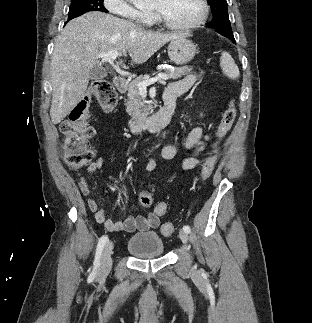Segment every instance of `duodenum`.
<instances>
[{
    "label": "duodenum",
    "mask_w": 312,
    "mask_h": 323,
    "mask_svg": "<svg viewBox=\"0 0 312 323\" xmlns=\"http://www.w3.org/2000/svg\"><path fill=\"white\" fill-rule=\"evenodd\" d=\"M114 85L117 90L123 92L127 88L128 80L124 75H119L115 78ZM174 112L175 96L164 95V105L162 108L154 115L130 119L128 122L129 130L135 135L157 131L172 122Z\"/></svg>",
    "instance_id": "duodenum-1"
}]
</instances>
